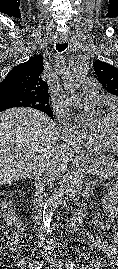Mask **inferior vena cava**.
Masks as SVG:
<instances>
[{
  "label": "inferior vena cava",
  "mask_w": 118,
  "mask_h": 269,
  "mask_svg": "<svg viewBox=\"0 0 118 269\" xmlns=\"http://www.w3.org/2000/svg\"><path fill=\"white\" fill-rule=\"evenodd\" d=\"M57 175V165L56 162L52 160H48L46 162H42L38 171L35 174V199L34 206L37 210L35 221L38 225V228L41 224V209L43 207V194L45 192L46 186L52 183L54 177ZM40 230V229H39Z\"/></svg>",
  "instance_id": "obj_1"
}]
</instances>
